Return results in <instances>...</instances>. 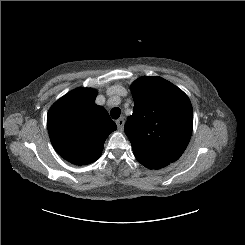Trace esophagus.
<instances>
[{
    "label": "esophagus",
    "mask_w": 245,
    "mask_h": 245,
    "mask_svg": "<svg viewBox=\"0 0 245 245\" xmlns=\"http://www.w3.org/2000/svg\"><path fill=\"white\" fill-rule=\"evenodd\" d=\"M124 123H125V121H124L123 117H121L118 120H116V125H117V128H118L119 131H123Z\"/></svg>",
    "instance_id": "34e87169"
}]
</instances>
